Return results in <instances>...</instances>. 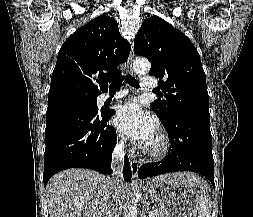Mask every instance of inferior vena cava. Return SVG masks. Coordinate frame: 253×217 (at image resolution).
Listing matches in <instances>:
<instances>
[{
    "label": "inferior vena cava",
    "instance_id": "obj_1",
    "mask_svg": "<svg viewBox=\"0 0 253 217\" xmlns=\"http://www.w3.org/2000/svg\"><path fill=\"white\" fill-rule=\"evenodd\" d=\"M124 161V143H119L115 150L113 151L112 162H113V169L116 172L121 170V166ZM122 180L121 179H114L111 184V197H112V213L108 217H119V211L122 209V202L123 199V189H122Z\"/></svg>",
    "mask_w": 253,
    "mask_h": 217
}]
</instances>
